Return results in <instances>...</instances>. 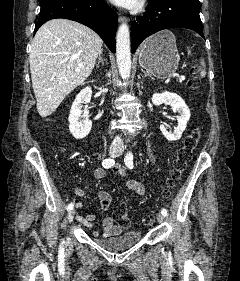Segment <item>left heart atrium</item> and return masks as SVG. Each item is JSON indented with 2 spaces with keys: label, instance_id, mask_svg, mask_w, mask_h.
<instances>
[{
  "label": "left heart atrium",
  "instance_id": "1",
  "mask_svg": "<svg viewBox=\"0 0 240 281\" xmlns=\"http://www.w3.org/2000/svg\"><path fill=\"white\" fill-rule=\"evenodd\" d=\"M110 1L120 7L135 9L140 6L142 0H110Z\"/></svg>",
  "mask_w": 240,
  "mask_h": 281
}]
</instances>
